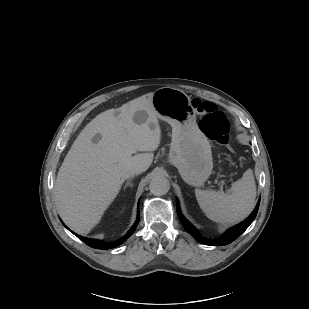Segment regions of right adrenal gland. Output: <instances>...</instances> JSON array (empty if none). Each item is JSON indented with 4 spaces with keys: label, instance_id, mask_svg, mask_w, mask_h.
Instances as JSON below:
<instances>
[{
    "label": "right adrenal gland",
    "instance_id": "1",
    "mask_svg": "<svg viewBox=\"0 0 309 309\" xmlns=\"http://www.w3.org/2000/svg\"><path fill=\"white\" fill-rule=\"evenodd\" d=\"M134 177L132 176V177H130L128 180H127V182H126V184H125V186H124V190L127 188V187H133V184L131 183V180L133 179Z\"/></svg>",
    "mask_w": 309,
    "mask_h": 309
}]
</instances>
